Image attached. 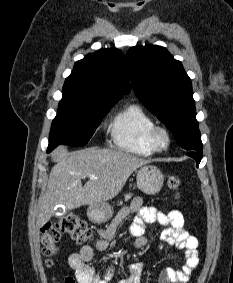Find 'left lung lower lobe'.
I'll return each instance as SVG.
<instances>
[{
	"label": "left lung lower lobe",
	"mask_w": 233,
	"mask_h": 283,
	"mask_svg": "<svg viewBox=\"0 0 233 283\" xmlns=\"http://www.w3.org/2000/svg\"><path fill=\"white\" fill-rule=\"evenodd\" d=\"M187 155L194 158L196 160L197 166L199 165V163L201 161L202 152H196V153L191 152V153H188Z\"/></svg>",
	"instance_id": "0a47b994"
}]
</instances>
